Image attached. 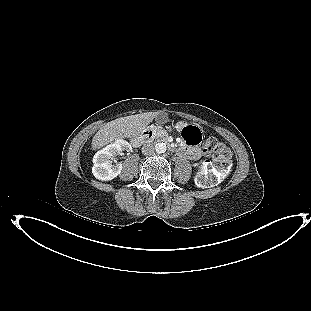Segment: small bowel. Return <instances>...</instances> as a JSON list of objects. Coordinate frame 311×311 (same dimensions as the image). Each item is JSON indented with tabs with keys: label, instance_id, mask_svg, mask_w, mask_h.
<instances>
[{
	"label": "small bowel",
	"instance_id": "small-bowel-1",
	"mask_svg": "<svg viewBox=\"0 0 311 311\" xmlns=\"http://www.w3.org/2000/svg\"><path fill=\"white\" fill-rule=\"evenodd\" d=\"M185 122H177L176 129L179 131H183L185 127H187ZM195 143H192L186 136H183V142L180 146L179 153L181 156L188 157L190 159H198L200 156L199 149L195 146Z\"/></svg>",
	"mask_w": 311,
	"mask_h": 311
}]
</instances>
